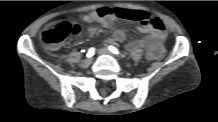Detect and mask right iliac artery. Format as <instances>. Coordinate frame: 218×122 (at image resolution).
<instances>
[{
  "label": "right iliac artery",
  "mask_w": 218,
  "mask_h": 122,
  "mask_svg": "<svg viewBox=\"0 0 218 122\" xmlns=\"http://www.w3.org/2000/svg\"><path fill=\"white\" fill-rule=\"evenodd\" d=\"M95 53V48H90L87 52V57H92Z\"/></svg>",
  "instance_id": "82829eb1"
}]
</instances>
